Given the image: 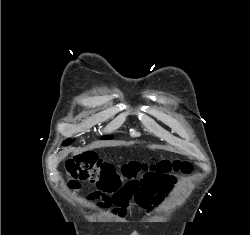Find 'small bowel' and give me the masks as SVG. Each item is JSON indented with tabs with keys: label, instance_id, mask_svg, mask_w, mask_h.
Segmentation results:
<instances>
[{
	"label": "small bowel",
	"instance_id": "1",
	"mask_svg": "<svg viewBox=\"0 0 250 235\" xmlns=\"http://www.w3.org/2000/svg\"><path fill=\"white\" fill-rule=\"evenodd\" d=\"M170 191V185L167 187H156L154 189H141L134 196L133 201L142 211L151 213V210L159 205Z\"/></svg>",
	"mask_w": 250,
	"mask_h": 235
}]
</instances>
